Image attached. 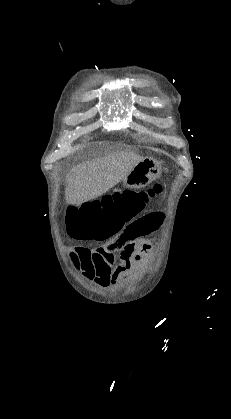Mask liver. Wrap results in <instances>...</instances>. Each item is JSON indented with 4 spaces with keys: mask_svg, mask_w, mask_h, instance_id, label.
<instances>
[{
    "mask_svg": "<svg viewBox=\"0 0 231 419\" xmlns=\"http://www.w3.org/2000/svg\"><path fill=\"white\" fill-rule=\"evenodd\" d=\"M144 158L131 152H113L74 167L66 177L65 200L80 206L117 185Z\"/></svg>",
    "mask_w": 231,
    "mask_h": 419,
    "instance_id": "obj_1",
    "label": "liver"
}]
</instances>
